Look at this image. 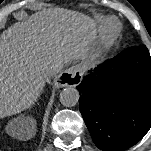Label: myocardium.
Returning <instances> with one entry per match:
<instances>
[{
    "label": "myocardium",
    "instance_id": "f54148a6",
    "mask_svg": "<svg viewBox=\"0 0 151 151\" xmlns=\"http://www.w3.org/2000/svg\"><path fill=\"white\" fill-rule=\"evenodd\" d=\"M120 32V27L117 24L105 25L102 28L99 41H98V50L105 51L109 49L117 39Z\"/></svg>",
    "mask_w": 151,
    "mask_h": 151
}]
</instances>
